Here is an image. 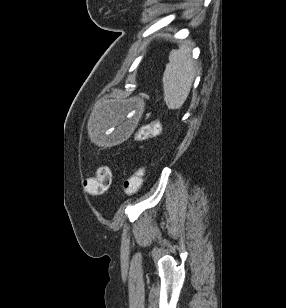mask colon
I'll use <instances>...</instances> for the list:
<instances>
[{
  "label": "colon",
  "instance_id": "obj_1",
  "mask_svg": "<svg viewBox=\"0 0 286 308\" xmlns=\"http://www.w3.org/2000/svg\"><path fill=\"white\" fill-rule=\"evenodd\" d=\"M160 131V124L152 122L146 126L138 129L134 135L135 140H145L151 136L158 134ZM145 169L143 167L137 168L132 172L123 183V193L126 196L135 194L141 187L144 178ZM112 181L111 169L108 166H101L96 177L87 178L84 180V188L94 194H101L106 192Z\"/></svg>",
  "mask_w": 286,
  "mask_h": 308
}]
</instances>
